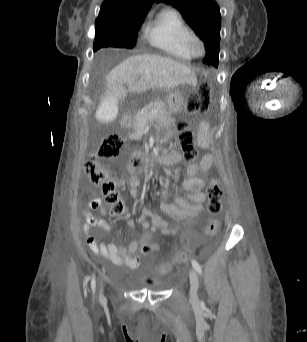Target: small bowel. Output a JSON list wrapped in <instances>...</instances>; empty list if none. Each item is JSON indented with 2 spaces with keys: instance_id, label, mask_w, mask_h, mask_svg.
Returning <instances> with one entry per match:
<instances>
[{
  "instance_id": "small-bowel-1",
  "label": "small bowel",
  "mask_w": 307,
  "mask_h": 342,
  "mask_svg": "<svg viewBox=\"0 0 307 342\" xmlns=\"http://www.w3.org/2000/svg\"><path fill=\"white\" fill-rule=\"evenodd\" d=\"M211 142L210 126L206 120L199 122L197 127V144L202 149H208ZM169 156L172 159V164H177L182 160V154L179 151H172ZM215 162V157L211 153H206L199 162H191L187 166V178L180 182V187L184 190V195L178 197L175 203L166 202L168 196L167 186L162 192V201L160 203L161 211L169 216L178 218L182 221H191L203 210L206 195L203 192V187L210 168ZM129 191L132 195L136 194V189L139 184L136 170L133 168L127 169ZM102 209L100 198L91 199L85 206L83 213L85 215V223L83 225V233L88 246L96 254L110 260L118 266H127L136 268L139 265V259L132 257L131 254L137 251L140 242L132 241L127 247L118 248L112 243H97L93 236L89 233L90 227H99L102 230L109 232L110 225L103 219L96 218L92 212ZM150 219V221L147 220ZM137 222L142 226L147 233V229H161V232H176L177 230L165 222L160 216L153 214L148 209H143L142 215ZM128 226L132 231H135V222L132 219L127 220Z\"/></svg>"
}]
</instances>
